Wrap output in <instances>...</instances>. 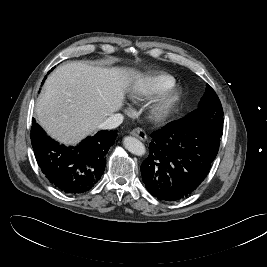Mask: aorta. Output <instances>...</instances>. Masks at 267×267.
Returning a JSON list of instances; mask_svg holds the SVG:
<instances>
[{"label": "aorta", "mask_w": 267, "mask_h": 267, "mask_svg": "<svg viewBox=\"0 0 267 267\" xmlns=\"http://www.w3.org/2000/svg\"><path fill=\"white\" fill-rule=\"evenodd\" d=\"M123 143L124 147L134 155L142 156L146 152L144 144L135 137L127 136Z\"/></svg>", "instance_id": "762f6f07"}]
</instances>
